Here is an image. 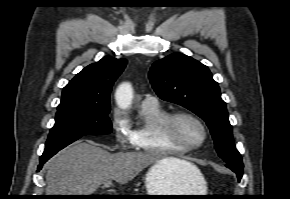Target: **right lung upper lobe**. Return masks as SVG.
Masks as SVG:
<instances>
[{
	"label": "right lung upper lobe",
	"mask_w": 290,
	"mask_h": 199,
	"mask_svg": "<svg viewBox=\"0 0 290 199\" xmlns=\"http://www.w3.org/2000/svg\"><path fill=\"white\" fill-rule=\"evenodd\" d=\"M126 59L110 56L90 64L63 89L58 108L78 105H110L113 83L126 66Z\"/></svg>",
	"instance_id": "cb5924a9"
}]
</instances>
